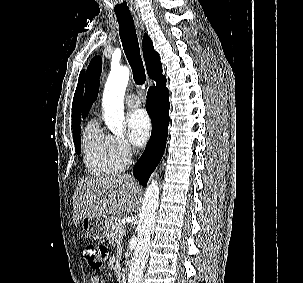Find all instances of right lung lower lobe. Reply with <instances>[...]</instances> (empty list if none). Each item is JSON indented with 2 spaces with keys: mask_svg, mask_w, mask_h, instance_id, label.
<instances>
[{
  "mask_svg": "<svg viewBox=\"0 0 303 283\" xmlns=\"http://www.w3.org/2000/svg\"><path fill=\"white\" fill-rule=\"evenodd\" d=\"M168 96L165 79L150 87L147 93V110L152 121V133L142 156L133 168L134 176L143 186H146L165 150L170 107Z\"/></svg>",
  "mask_w": 303,
  "mask_h": 283,
  "instance_id": "obj_1",
  "label": "right lung lower lobe"
}]
</instances>
